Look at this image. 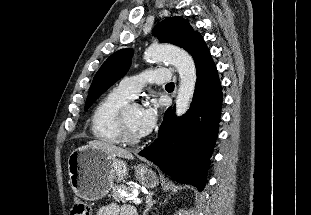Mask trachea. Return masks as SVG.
I'll list each match as a JSON object with an SVG mask.
<instances>
[{
  "label": "trachea",
  "instance_id": "3493384b",
  "mask_svg": "<svg viewBox=\"0 0 311 215\" xmlns=\"http://www.w3.org/2000/svg\"><path fill=\"white\" fill-rule=\"evenodd\" d=\"M166 87H174V83H168L167 85H166Z\"/></svg>",
  "mask_w": 311,
  "mask_h": 215
}]
</instances>
